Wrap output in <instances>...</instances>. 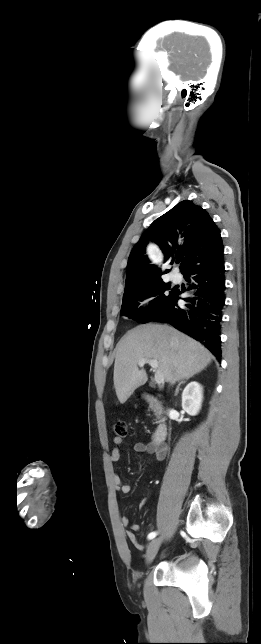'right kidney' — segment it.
<instances>
[{
	"label": "right kidney",
	"mask_w": 261,
	"mask_h": 644,
	"mask_svg": "<svg viewBox=\"0 0 261 644\" xmlns=\"http://www.w3.org/2000/svg\"><path fill=\"white\" fill-rule=\"evenodd\" d=\"M203 400L202 387L198 382L189 383L182 393V408L191 416L198 414Z\"/></svg>",
	"instance_id": "1"
}]
</instances>
